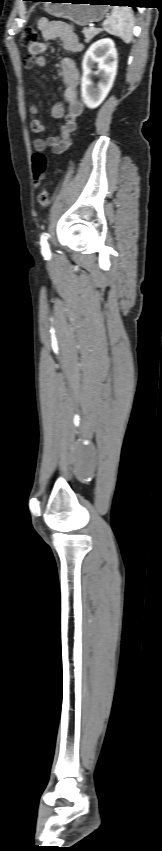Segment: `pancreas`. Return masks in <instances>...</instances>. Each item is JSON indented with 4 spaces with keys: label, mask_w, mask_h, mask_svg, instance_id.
<instances>
[{
    "label": "pancreas",
    "mask_w": 162,
    "mask_h": 851,
    "mask_svg": "<svg viewBox=\"0 0 162 851\" xmlns=\"http://www.w3.org/2000/svg\"><path fill=\"white\" fill-rule=\"evenodd\" d=\"M102 30L98 28H84L83 34L85 37V43H89L96 35H98Z\"/></svg>",
    "instance_id": "pancreas-1"
}]
</instances>
